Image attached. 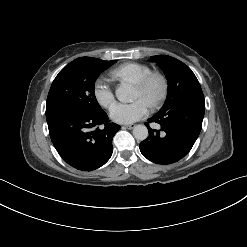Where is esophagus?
I'll return each instance as SVG.
<instances>
[{
	"label": "esophagus",
	"mask_w": 247,
	"mask_h": 247,
	"mask_svg": "<svg viewBox=\"0 0 247 247\" xmlns=\"http://www.w3.org/2000/svg\"><path fill=\"white\" fill-rule=\"evenodd\" d=\"M135 127L134 124H128V125H124L123 128H126V129H133Z\"/></svg>",
	"instance_id": "34e87169"
}]
</instances>
